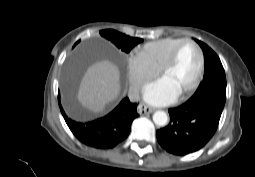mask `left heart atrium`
Returning <instances> with one entry per match:
<instances>
[{"label":"left heart atrium","instance_id":"1","mask_svg":"<svg viewBox=\"0 0 255 177\" xmlns=\"http://www.w3.org/2000/svg\"><path fill=\"white\" fill-rule=\"evenodd\" d=\"M178 92L164 78H160L148 85L144 90V99L146 102L156 106H163L173 102Z\"/></svg>","mask_w":255,"mask_h":177}]
</instances>
